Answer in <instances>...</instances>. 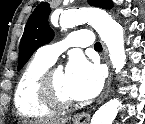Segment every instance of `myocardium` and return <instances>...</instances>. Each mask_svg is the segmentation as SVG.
<instances>
[{
  "mask_svg": "<svg viewBox=\"0 0 145 124\" xmlns=\"http://www.w3.org/2000/svg\"><path fill=\"white\" fill-rule=\"evenodd\" d=\"M55 69H47L39 80L38 94L42 103L53 110H67L75 106L74 100L62 98L54 85L53 73Z\"/></svg>",
  "mask_w": 145,
  "mask_h": 124,
  "instance_id": "myocardium-1",
  "label": "myocardium"
}]
</instances>
